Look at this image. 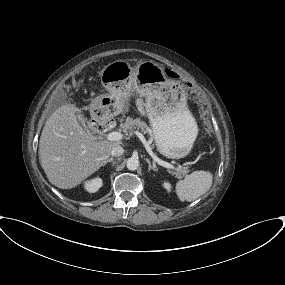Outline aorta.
<instances>
[{
  "instance_id": "obj_1",
  "label": "aorta",
  "mask_w": 285,
  "mask_h": 285,
  "mask_svg": "<svg viewBox=\"0 0 285 285\" xmlns=\"http://www.w3.org/2000/svg\"><path fill=\"white\" fill-rule=\"evenodd\" d=\"M139 160L135 157H130L128 160H127V168L131 171H134V170H137L138 167H139Z\"/></svg>"
}]
</instances>
